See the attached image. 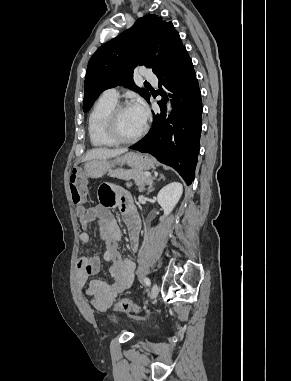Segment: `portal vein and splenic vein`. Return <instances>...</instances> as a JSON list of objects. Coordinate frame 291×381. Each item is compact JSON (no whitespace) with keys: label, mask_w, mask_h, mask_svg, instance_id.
Returning a JSON list of instances; mask_svg holds the SVG:
<instances>
[{"label":"portal vein and splenic vein","mask_w":291,"mask_h":381,"mask_svg":"<svg viewBox=\"0 0 291 381\" xmlns=\"http://www.w3.org/2000/svg\"><path fill=\"white\" fill-rule=\"evenodd\" d=\"M145 176H146V177H151V173H148V172H147V173H145Z\"/></svg>","instance_id":"portal-vein-and-splenic-vein-1"}]
</instances>
